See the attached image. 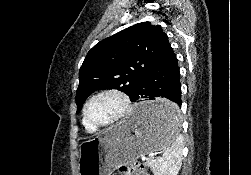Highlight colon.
Returning a JSON list of instances; mask_svg holds the SVG:
<instances>
[{
	"instance_id": "5ec220e1",
	"label": "colon",
	"mask_w": 251,
	"mask_h": 175,
	"mask_svg": "<svg viewBox=\"0 0 251 175\" xmlns=\"http://www.w3.org/2000/svg\"><path fill=\"white\" fill-rule=\"evenodd\" d=\"M120 172L122 175H149L144 164L137 160L124 163Z\"/></svg>"
}]
</instances>
